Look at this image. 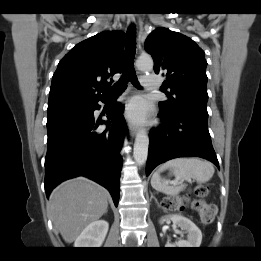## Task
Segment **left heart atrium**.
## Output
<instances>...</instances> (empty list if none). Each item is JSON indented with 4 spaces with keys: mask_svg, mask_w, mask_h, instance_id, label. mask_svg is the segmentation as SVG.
<instances>
[{
    "mask_svg": "<svg viewBox=\"0 0 261 261\" xmlns=\"http://www.w3.org/2000/svg\"><path fill=\"white\" fill-rule=\"evenodd\" d=\"M147 106L140 98L132 99L127 107V115L134 121H143L147 116Z\"/></svg>",
    "mask_w": 261,
    "mask_h": 261,
    "instance_id": "obj_1",
    "label": "left heart atrium"
}]
</instances>
